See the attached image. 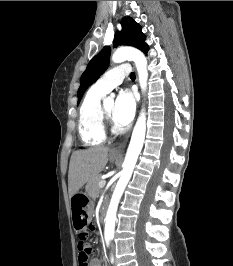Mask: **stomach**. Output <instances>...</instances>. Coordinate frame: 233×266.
I'll return each instance as SVG.
<instances>
[{
	"label": "stomach",
	"mask_w": 233,
	"mask_h": 266,
	"mask_svg": "<svg viewBox=\"0 0 233 266\" xmlns=\"http://www.w3.org/2000/svg\"><path fill=\"white\" fill-rule=\"evenodd\" d=\"M118 156L110 155V160H117ZM71 209L74 223L71 227L75 232H86L87 225H92L93 221L90 220L88 209L89 196L87 191H76V194L72 195Z\"/></svg>",
	"instance_id": "1"
}]
</instances>
